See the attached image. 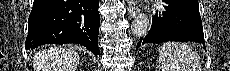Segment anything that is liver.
Segmentation results:
<instances>
[{"instance_id":"1","label":"liver","mask_w":230,"mask_h":71,"mask_svg":"<svg viewBox=\"0 0 230 71\" xmlns=\"http://www.w3.org/2000/svg\"><path fill=\"white\" fill-rule=\"evenodd\" d=\"M79 54L72 48L54 47L38 52L33 59L35 71H76Z\"/></svg>"}]
</instances>
